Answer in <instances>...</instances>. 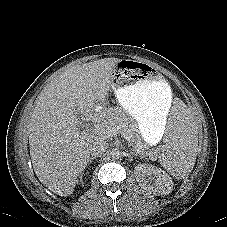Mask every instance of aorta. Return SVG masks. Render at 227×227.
<instances>
[{
  "instance_id": "1",
  "label": "aorta",
  "mask_w": 227,
  "mask_h": 227,
  "mask_svg": "<svg viewBox=\"0 0 227 227\" xmlns=\"http://www.w3.org/2000/svg\"><path fill=\"white\" fill-rule=\"evenodd\" d=\"M110 155L112 159H119L122 156V152L115 148L110 152Z\"/></svg>"
}]
</instances>
